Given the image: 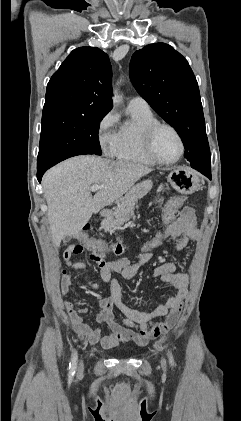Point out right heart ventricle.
Wrapping results in <instances>:
<instances>
[{
    "mask_svg": "<svg viewBox=\"0 0 241 421\" xmlns=\"http://www.w3.org/2000/svg\"><path fill=\"white\" fill-rule=\"evenodd\" d=\"M130 121L118 129L111 155L120 161L155 165L147 154L143 137L145 130L158 122L150 109L128 108Z\"/></svg>",
    "mask_w": 241,
    "mask_h": 421,
    "instance_id": "obj_1",
    "label": "right heart ventricle"
}]
</instances>
